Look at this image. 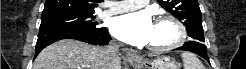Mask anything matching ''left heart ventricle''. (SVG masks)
<instances>
[{
	"label": "left heart ventricle",
	"instance_id": "1",
	"mask_svg": "<svg viewBox=\"0 0 246 69\" xmlns=\"http://www.w3.org/2000/svg\"><path fill=\"white\" fill-rule=\"evenodd\" d=\"M176 37L173 26L167 22H156L149 45H162L172 42Z\"/></svg>",
	"mask_w": 246,
	"mask_h": 69
}]
</instances>
